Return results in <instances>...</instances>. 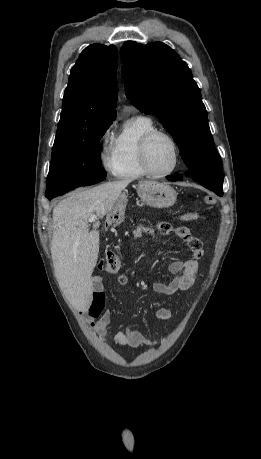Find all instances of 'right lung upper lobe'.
I'll return each mask as SVG.
<instances>
[{
  "instance_id": "1",
  "label": "right lung upper lobe",
  "mask_w": 261,
  "mask_h": 459,
  "mask_svg": "<svg viewBox=\"0 0 261 459\" xmlns=\"http://www.w3.org/2000/svg\"><path fill=\"white\" fill-rule=\"evenodd\" d=\"M117 61L114 45L93 44L82 51L64 91L57 139L112 123L118 94Z\"/></svg>"
}]
</instances>
